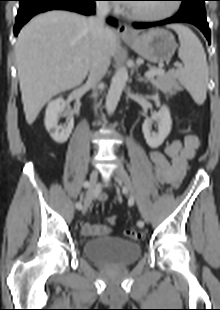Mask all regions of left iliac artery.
I'll list each match as a JSON object with an SVG mask.
<instances>
[{
    "instance_id": "left-iliac-artery-1",
    "label": "left iliac artery",
    "mask_w": 220,
    "mask_h": 310,
    "mask_svg": "<svg viewBox=\"0 0 220 310\" xmlns=\"http://www.w3.org/2000/svg\"><path fill=\"white\" fill-rule=\"evenodd\" d=\"M128 205H129V206H133V205H134V198H133V197H131V198L128 200ZM137 225H138L139 227H142V226L144 225V222L141 221V220H139V221L137 222Z\"/></svg>"
}]
</instances>
